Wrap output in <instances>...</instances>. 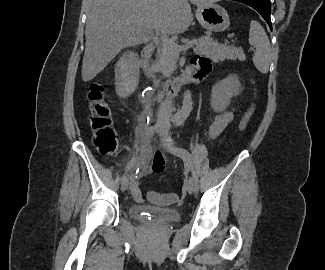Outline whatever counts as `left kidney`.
I'll use <instances>...</instances> for the list:
<instances>
[{"label": "left kidney", "mask_w": 325, "mask_h": 270, "mask_svg": "<svg viewBox=\"0 0 325 270\" xmlns=\"http://www.w3.org/2000/svg\"><path fill=\"white\" fill-rule=\"evenodd\" d=\"M242 91L236 75H229L215 84L211 90V107L215 112L224 111L230 104L231 98Z\"/></svg>", "instance_id": "left-kidney-1"}]
</instances>
